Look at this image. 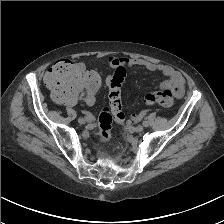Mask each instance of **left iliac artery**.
<instances>
[{
	"instance_id": "left-iliac-artery-1",
	"label": "left iliac artery",
	"mask_w": 224,
	"mask_h": 224,
	"mask_svg": "<svg viewBox=\"0 0 224 224\" xmlns=\"http://www.w3.org/2000/svg\"><path fill=\"white\" fill-rule=\"evenodd\" d=\"M143 126H145V127H148V125H149V123H148V121H143Z\"/></svg>"
}]
</instances>
